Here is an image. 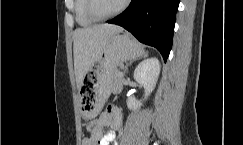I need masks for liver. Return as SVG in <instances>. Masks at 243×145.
<instances>
[{
    "instance_id": "obj_1",
    "label": "liver",
    "mask_w": 243,
    "mask_h": 145,
    "mask_svg": "<svg viewBox=\"0 0 243 145\" xmlns=\"http://www.w3.org/2000/svg\"><path fill=\"white\" fill-rule=\"evenodd\" d=\"M122 31V27L111 24L77 28L74 31V69L78 89L81 88L85 75L101 57L110 38Z\"/></svg>"
}]
</instances>
